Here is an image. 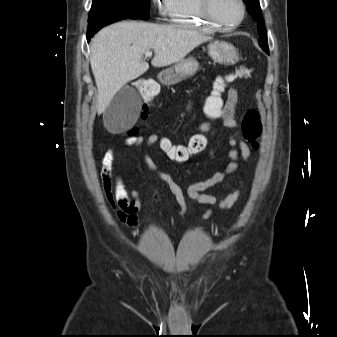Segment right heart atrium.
<instances>
[{
  "mask_svg": "<svg viewBox=\"0 0 337 337\" xmlns=\"http://www.w3.org/2000/svg\"><path fill=\"white\" fill-rule=\"evenodd\" d=\"M155 5L158 7L160 13L166 12V2L167 0H152Z\"/></svg>",
  "mask_w": 337,
  "mask_h": 337,
  "instance_id": "1",
  "label": "right heart atrium"
}]
</instances>
